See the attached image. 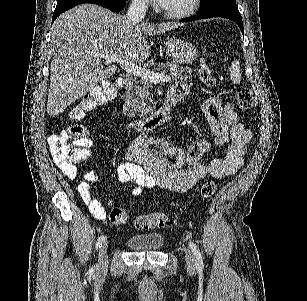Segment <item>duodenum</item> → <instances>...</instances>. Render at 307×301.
<instances>
[{"instance_id": "1", "label": "duodenum", "mask_w": 307, "mask_h": 301, "mask_svg": "<svg viewBox=\"0 0 307 301\" xmlns=\"http://www.w3.org/2000/svg\"><path fill=\"white\" fill-rule=\"evenodd\" d=\"M123 86L125 95L122 110L124 115L131 120L134 128L138 131H149L167 122L170 119L172 110L182 98L181 96L170 92L167 95L163 106L156 113L147 118H139L132 110L130 104V93L134 87V81L130 78H126L123 81Z\"/></svg>"}]
</instances>
